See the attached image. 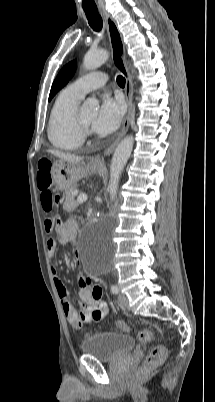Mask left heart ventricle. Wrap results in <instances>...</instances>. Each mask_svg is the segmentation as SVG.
Wrapping results in <instances>:
<instances>
[{
  "label": "left heart ventricle",
  "mask_w": 215,
  "mask_h": 402,
  "mask_svg": "<svg viewBox=\"0 0 215 402\" xmlns=\"http://www.w3.org/2000/svg\"><path fill=\"white\" fill-rule=\"evenodd\" d=\"M95 114L96 110L94 108H85L80 111L81 120L88 127L92 125Z\"/></svg>",
  "instance_id": "b2bd125f"
}]
</instances>
